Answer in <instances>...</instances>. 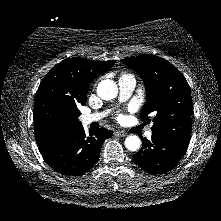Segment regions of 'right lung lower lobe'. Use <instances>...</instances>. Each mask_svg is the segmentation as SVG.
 Segmentation results:
<instances>
[{
    "mask_svg": "<svg viewBox=\"0 0 221 221\" xmlns=\"http://www.w3.org/2000/svg\"><path fill=\"white\" fill-rule=\"evenodd\" d=\"M113 135L100 128L85 134L83 126L41 152L45 161L62 175L81 176L97 162L103 141Z\"/></svg>",
    "mask_w": 221,
    "mask_h": 221,
    "instance_id": "obj_1",
    "label": "right lung lower lobe"
}]
</instances>
